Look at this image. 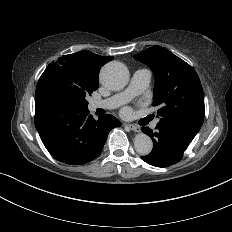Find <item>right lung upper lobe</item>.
Listing matches in <instances>:
<instances>
[{"label": "right lung upper lobe", "mask_w": 232, "mask_h": 232, "mask_svg": "<svg viewBox=\"0 0 232 232\" xmlns=\"http://www.w3.org/2000/svg\"><path fill=\"white\" fill-rule=\"evenodd\" d=\"M112 59V56H100L85 50L63 56L53 63L87 80L98 81L100 68Z\"/></svg>", "instance_id": "1"}]
</instances>
